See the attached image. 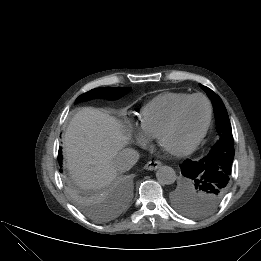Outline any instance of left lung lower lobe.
Segmentation results:
<instances>
[{
  "label": "left lung lower lobe",
  "mask_w": 261,
  "mask_h": 261,
  "mask_svg": "<svg viewBox=\"0 0 261 261\" xmlns=\"http://www.w3.org/2000/svg\"><path fill=\"white\" fill-rule=\"evenodd\" d=\"M198 163V162H197ZM196 162L189 159L185 160L181 165L182 175L186 178H195L200 174V168Z\"/></svg>",
  "instance_id": "obj_1"
}]
</instances>
